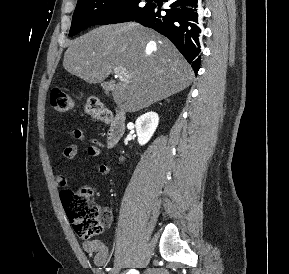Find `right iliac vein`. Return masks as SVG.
Here are the masks:
<instances>
[{
  "instance_id": "1",
  "label": "right iliac vein",
  "mask_w": 289,
  "mask_h": 274,
  "mask_svg": "<svg viewBox=\"0 0 289 274\" xmlns=\"http://www.w3.org/2000/svg\"><path fill=\"white\" fill-rule=\"evenodd\" d=\"M119 270L120 269L118 267L112 268L109 274H119Z\"/></svg>"
}]
</instances>
